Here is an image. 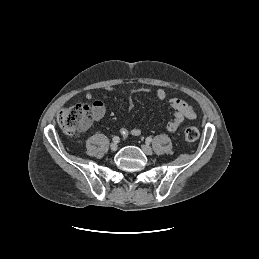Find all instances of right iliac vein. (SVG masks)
<instances>
[{"instance_id": "right-iliac-vein-1", "label": "right iliac vein", "mask_w": 259, "mask_h": 259, "mask_svg": "<svg viewBox=\"0 0 259 259\" xmlns=\"http://www.w3.org/2000/svg\"><path fill=\"white\" fill-rule=\"evenodd\" d=\"M110 149H111L112 151H116V150L118 149L117 143H111Z\"/></svg>"}]
</instances>
